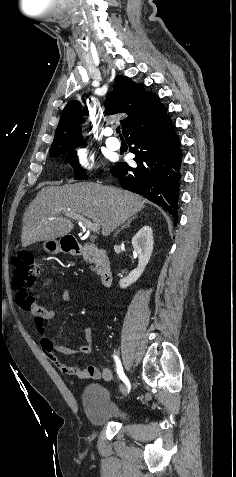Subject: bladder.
<instances>
[{"label": "bladder", "instance_id": "obj_1", "mask_svg": "<svg viewBox=\"0 0 236 477\" xmlns=\"http://www.w3.org/2000/svg\"><path fill=\"white\" fill-rule=\"evenodd\" d=\"M82 404L88 420L94 425L124 422L130 414L127 406L115 400L106 387L97 383H89L84 387Z\"/></svg>", "mask_w": 236, "mask_h": 477}]
</instances>
